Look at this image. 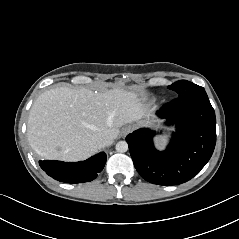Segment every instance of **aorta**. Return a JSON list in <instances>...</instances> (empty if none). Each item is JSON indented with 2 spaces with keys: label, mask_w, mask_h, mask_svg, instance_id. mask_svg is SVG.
I'll return each instance as SVG.
<instances>
[{
  "label": "aorta",
  "mask_w": 239,
  "mask_h": 239,
  "mask_svg": "<svg viewBox=\"0 0 239 239\" xmlns=\"http://www.w3.org/2000/svg\"><path fill=\"white\" fill-rule=\"evenodd\" d=\"M116 151L119 152V153H124L128 150V144L126 141H119L117 144H116Z\"/></svg>",
  "instance_id": "obj_1"
}]
</instances>
